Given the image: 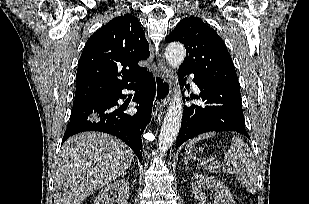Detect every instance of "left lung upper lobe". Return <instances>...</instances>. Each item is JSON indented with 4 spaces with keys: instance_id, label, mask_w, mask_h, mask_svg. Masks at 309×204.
Listing matches in <instances>:
<instances>
[{
    "instance_id": "left-lung-upper-lobe-1",
    "label": "left lung upper lobe",
    "mask_w": 309,
    "mask_h": 204,
    "mask_svg": "<svg viewBox=\"0 0 309 204\" xmlns=\"http://www.w3.org/2000/svg\"><path fill=\"white\" fill-rule=\"evenodd\" d=\"M166 41H180L184 44L186 58L180 66L182 71L238 86L237 74L225 43L200 18L181 20L166 36Z\"/></svg>"
}]
</instances>
